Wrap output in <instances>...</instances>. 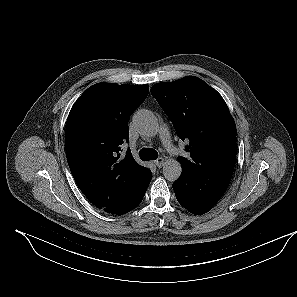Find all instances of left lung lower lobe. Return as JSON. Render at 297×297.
Returning a JSON list of instances; mask_svg holds the SVG:
<instances>
[{"instance_id": "obj_1", "label": "left lung lower lobe", "mask_w": 297, "mask_h": 297, "mask_svg": "<svg viewBox=\"0 0 297 297\" xmlns=\"http://www.w3.org/2000/svg\"><path fill=\"white\" fill-rule=\"evenodd\" d=\"M183 184H184L183 180H177L173 184V189L175 191L176 198H177L178 202L181 204H183L182 203ZM215 204H216V202H211V203H203V204L195 205V206H184V207L189 212H191L195 215H201V214L208 212Z\"/></svg>"}]
</instances>
